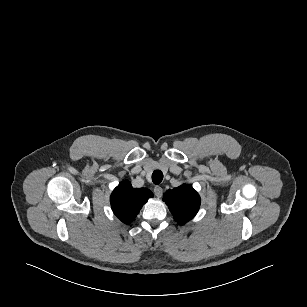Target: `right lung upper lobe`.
<instances>
[{
	"mask_svg": "<svg viewBox=\"0 0 307 307\" xmlns=\"http://www.w3.org/2000/svg\"><path fill=\"white\" fill-rule=\"evenodd\" d=\"M153 197L146 188H133L130 182H121L110 197L114 214L125 224H130L139 213L142 206Z\"/></svg>",
	"mask_w": 307,
	"mask_h": 307,
	"instance_id": "cb5924a9",
	"label": "right lung upper lobe"
}]
</instances>
